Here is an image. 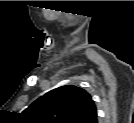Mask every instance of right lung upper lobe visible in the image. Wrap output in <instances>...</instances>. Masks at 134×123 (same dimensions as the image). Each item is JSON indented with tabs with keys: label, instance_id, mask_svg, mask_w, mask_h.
I'll use <instances>...</instances> for the list:
<instances>
[{
	"label": "right lung upper lobe",
	"instance_id": "obj_1",
	"mask_svg": "<svg viewBox=\"0 0 134 123\" xmlns=\"http://www.w3.org/2000/svg\"><path fill=\"white\" fill-rule=\"evenodd\" d=\"M23 115L32 123H97L91 95L74 85L49 91L24 110Z\"/></svg>",
	"mask_w": 134,
	"mask_h": 123
}]
</instances>
